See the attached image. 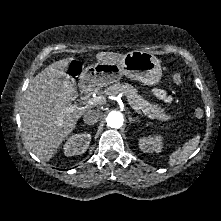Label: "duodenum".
<instances>
[{"label":"duodenum","instance_id":"1","mask_svg":"<svg viewBox=\"0 0 221 221\" xmlns=\"http://www.w3.org/2000/svg\"><path fill=\"white\" fill-rule=\"evenodd\" d=\"M93 94V88L88 82L84 81L81 87V97L85 100L90 99Z\"/></svg>","mask_w":221,"mask_h":221}]
</instances>
